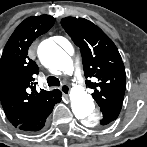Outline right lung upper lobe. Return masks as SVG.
I'll use <instances>...</instances> for the list:
<instances>
[{
    "label": "right lung upper lobe",
    "mask_w": 147,
    "mask_h": 147,
    "mask_svg": "<svg viewBox=\"0 0 147 147\" xmlns=\"http://www.w3.org/2000/svg\"><path fill=\"white\" fill-rule=\"evenodd\" d=\"M49 15L29 17L15 29L0 59V100L8 120L19 126L38 115L59 90H36L37 64L28 57L32 42L54 24Z\"/></svg>",
    "instance_id": "right-lung-upper-lobe-1"
}]
</instances>
